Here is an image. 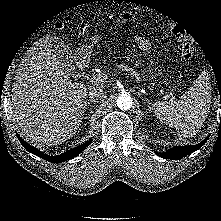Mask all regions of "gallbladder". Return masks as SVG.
Here are the masks:
<instances>
[{"mask_svg":"<svg viewBox=\"0 0 221 221\" xmlns=\"http://www.w3.org/2000/svg\"><path fill=\"white\" fill-rule=\"evenodd\" d=\"M50 47L63 68L69 74L73 73L75 71V65L73 52L70 47L62 39L56 37L50 40Z\"/></svg>","mask_w":221,"mask_h":221,"instance_id":"gallbladder-1","label":"gallbladder"}]
</instances>
